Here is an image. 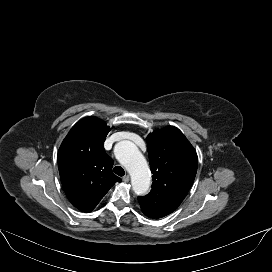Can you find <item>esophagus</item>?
<instances>
[{
  "instance_id": "esophagus-1",
  "label": "esophagus",
  "mask_w": 272,
  "mask_h": 272,
  "mask_svg": "<svg viewBox=\"0 0 272 272\" xmlns=\"http://www.w3.org/2000/svg\"><path fill=\"white\" fill-rule=\"evenodd\" d=\"M122 179L125 183H128L130 181V176L127 174Z\"/></svg>"
}]
</instances>
